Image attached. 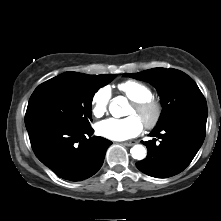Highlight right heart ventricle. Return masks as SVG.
<instances>
[{
  "mask_svg": "<svg viewBox=\"0 0 221 221\" xmlns=\"http://www.w3.org/2000/svg\"><path fill=\"white\" fill-rule=\"evenodd\" d=\"M119 91L129 100L141 101L152 98L151 88L136 80H127L118 85Z\"/></svg>",
  "mask_w": 221,
  "mask_h": 221,
  "instance_id": "right-heart-ventricle-1",
  "label": "right heart ventricle"
}]
</instances>
